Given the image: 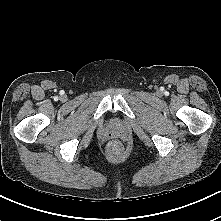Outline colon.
Listing matches in <instances>:
<instances>
[{
	"mask_svg": "<svg viewBox=\"0 0 221 221\" xmlns=\"http://www.w3.org/2000/svg\"><path fill=\"white\" fill-rule=\"evenodd\" d=\"M110 149L114 152H120L122 150L121 145L119 143H113L110 146Z\"/></svg>",
	"mask_w": 221,
	"mask_h": 221,
	"instance_id": "5ec220e1",
	"label": "colon"
}]
</instances>
